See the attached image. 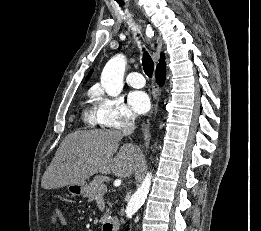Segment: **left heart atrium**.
I'll return each instance as SVG.
<instances>
[{
	"instance_id": "39dd6f15",
	"label": "left heart atrium",
	"mask_w": 261,
	"mask_h": 231,
	"mask_svg": "<svg viewBox=\"0 0 261 231\" xmlns=\"http://www.w3.org/2000/svg\"><path fill=\"white\" fill-rule=\"evenodd\" d=\"M128 103L138 114H144L150 108V98L144 91H132L128 96Z\"/></svg>"
}]
</instances>
